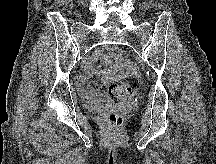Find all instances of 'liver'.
Returning a JSON list of instances; mask_svg holds the SVG:
<instances>
[{
  "label": "liver",
  "mask_w": 216,
  "mask_h": 164,
  "mask_svg": "<svg viewBox=\"0 0 216 164\" xmlns=\"http://www.w3.org/2000/svg\"><path fill=\"white\" fill-rule=\"evenodd\" d=\"M47 2H50L51 0H46Z\"/></svg>",
  "instance_id": "1"
}]
</instances>
